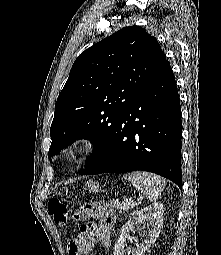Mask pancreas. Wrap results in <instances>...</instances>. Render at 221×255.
<instances>
[{"mask_svg": "<svg viewBox=\"0 0 221 255\" xmlns=\"http://www.w3.org/2000/svg\"><path fill=\"white\" fill-rule=\"evenodd\" d=\"M110 206L113 207L115 210H117L119 213H122L132 209L135 205L129 201L120 202L118 200H111Z\"/></svg>", "mask_w": 221, "mask_h": 255, "instance_id": "pancreas-1", "label": "pancreas"}]
</instances>
